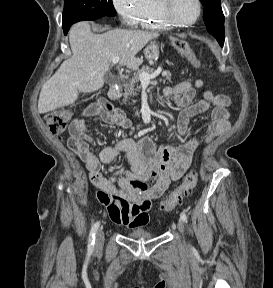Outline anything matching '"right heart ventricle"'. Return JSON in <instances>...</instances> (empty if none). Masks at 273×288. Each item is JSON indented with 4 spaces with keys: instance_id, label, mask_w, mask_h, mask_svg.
I'll use <instances>...</instances> for the list:
<instances>
[{
    "instance_id": "e07e8e85",
    "label": "right heart ventricle",
    "mask_w": 273,
    "mask_h": 288,
    "mask_svg": "<svg viewBox=\"0 0 273 288\" xmlns=\"http://www.w3.org/2000/svg\"><path fill=\"white\" fill-rule=\"evenodd\" d=\"M136 25L144 29H168L169 24L162 16L158 0H143Z\"/></svg>"
}]
</instances>
